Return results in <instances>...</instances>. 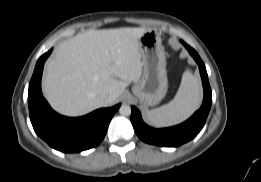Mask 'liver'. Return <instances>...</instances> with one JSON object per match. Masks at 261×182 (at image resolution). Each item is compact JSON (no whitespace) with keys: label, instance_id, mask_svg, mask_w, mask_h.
Wrapping results in <instances>:
<instances>
[{"label":"liver","instance_id":"obj_1","mask_svg":"<svg viewBox=\"0 0 261 182\" xmlns=\"http://www.w3.org/2000/svg\"><path fill=\"white\" fill-rule=\"evenodd\" d=\"M147 30H89L62 42L47 62L43 82L51 106L61 114L80 116L115 104L142 75L138 41Z\"/></svg>","mask_w":261,"mask_h":182}]
</instances>
